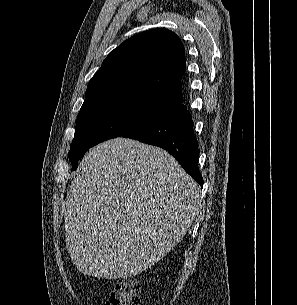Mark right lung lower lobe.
<instances>
[{
  "instance_id": "obj_1",
  "label": "right lung lower lobe",
  "mask_w": 297,
  "mask_h": 305,
  "mask_svg": "<svg viewBox=\"0 0 297 305\" xmlns=\"http://www.w3.org/2000/svg\"><path fill=\"white\" fill-rule=\"evenodd\" d=\"M122 137L165 149L203 186V178L198 169V143L193 132V121L184 104L174 105L151 122Z\"/></svg>"
}]
</instances>
